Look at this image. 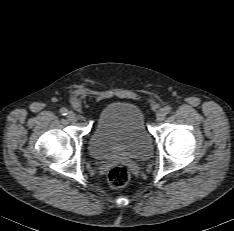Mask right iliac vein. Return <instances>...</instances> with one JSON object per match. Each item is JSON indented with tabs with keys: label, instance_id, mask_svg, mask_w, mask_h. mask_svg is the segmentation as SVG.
<instances>
[{
	"label": "right iliac vein",
	"instance_id": "63e3f726",
	"mask_svg": "<svg viewBox=\"0 0 234 231\" xmlns=\"http://www.w3.org/2000/svg\"><path fill=\"white\" fill-rule=\"evenodd\" d=\"M67 118L70 122H76L77 121V116L76 114L73 112V111H70L68 114H67Z\"/></svg>",
	"mask_w": 234,
	"mask_h": 231
}]
</instances>
